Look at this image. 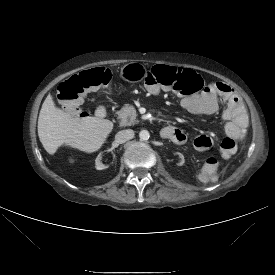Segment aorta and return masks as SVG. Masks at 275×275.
Wrapping results in <instances>:
<instances>
[{"label": "aorta", "instance_id": "obj_1", "mask_svg": "<svg viewBox=\"0 0 275 275\" xmlns=\"http://www.w3.org/2000/svg\"><path fill=\"white\" fill-rule=\"evenodd\" d=\"M139 137L141 140H148L150 137V134L147 130H142L139 132Z\"/></svg>", "mask_w": 275, "mask_h": 275}]
</instances>
